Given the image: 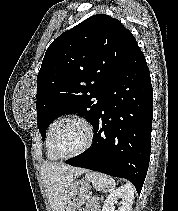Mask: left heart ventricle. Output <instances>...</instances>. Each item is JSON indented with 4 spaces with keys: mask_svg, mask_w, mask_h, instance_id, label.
Returning <instances> with one entry per match:
<instances>
[{
    "mask_svg": "<svg viewBox=\"0 0 178 211\" xmlns=\"http://www.w3.org/2000/svg\"><path fill=\"white\" fill-rule=\"evenodd\" d=\"M86 138L87 132L82 124L68 122L60 129L57 135V151L61 155L74 154L84 146Z\"/></svg>",
    "mask_w": 178,
    "mask_h": 211,
    "instance_id": "1",
    "label": "left heart ventricle"
}]
</instances>
